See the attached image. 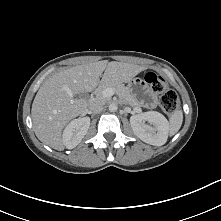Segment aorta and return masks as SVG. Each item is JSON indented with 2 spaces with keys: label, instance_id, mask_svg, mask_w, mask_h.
<instances>
[{
  "label": "aorta",
  "instance_id": "aorta-1",
  "mask_svg": "<svg viewBox=\"0 0 221 221\" xmlns=\"http://www.w3.org/2000/svg\"><path fill=\"white\" fill-rule=\"evenodd\" d=\"M109 111H110V112H115V111H117V105H116L115 103H111V104L109 105Z\"/></svg>",
  "mask_w": 221,
  "mask_h": 221
}]
</instances>
